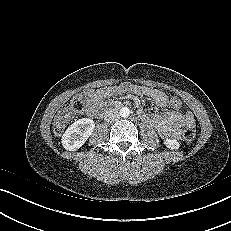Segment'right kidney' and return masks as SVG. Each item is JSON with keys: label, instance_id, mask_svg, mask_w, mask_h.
I'll use <instances>...</instances> for the list:
<instances>
[{"label": "right kidney", "instance_id": "ca27d5eb", "mask_svg": "<svg viewBox=\"0 0 231 231\" xmlns=\"http://www.w3.org/2000/svg\"><path fill=\"white\" fill-rule=\"evenodd\" d=\"M95 128V123L90 118H82L71 124L62 135V145L66 150L79 149L89 138Z\"/></svg>", "mask_w": 231, "mask_h": 231}]
</instances>
